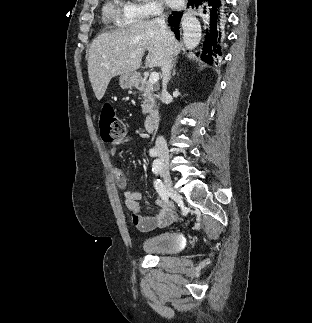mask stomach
Listing matches in <instances>:
<instances>
[{
	"instance_id": "0dacf381",
	"label": "stomach",
	"mask_w": 312,
	"mask_h": 323,
	"mask_svg": "<svg viewBox=\"0 0 312 323\" xmlns=\"http://www.w3.org/2000/svg\"><path fill=\"white\" fill-rule=\"evenodd\" d=\"M139 80L138 74L136 72H130V74H121L119 78V84L123 90L125 88H133Z\"/></svg>"
}]
</instances>
